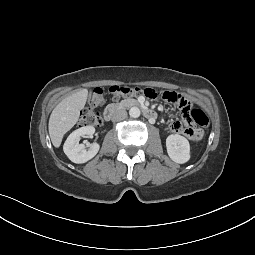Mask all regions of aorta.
I'll use <instances>...</instances> for the list:
<instances>
[{"instance_id": "obj_1", "label": "aorta", "mask_w": 255, "mask_h": 255, "mask_svg": "<svg viewBox=\"0 0 255 255\" xmlns=\"http://www.w3.org/2000/svg\"><path fill=\"white\" fill-rule=\"evenodd\" d=\"M141 112L140 109L138 107H132L129 110V115L132 118H138L140 116Z\"/></svg>"}]
</instances>
